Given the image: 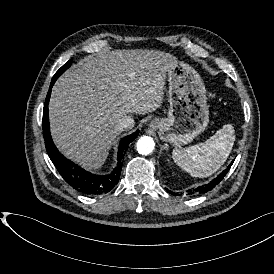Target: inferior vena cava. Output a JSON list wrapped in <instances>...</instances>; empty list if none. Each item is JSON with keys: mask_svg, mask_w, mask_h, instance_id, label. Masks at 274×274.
Listing matches in <instances>:
<instances>
[{"mask_svg": "<svg viewBox=\"0 0 274 274\" xmlns=\"http://www.w3.org/2000/svg\"><path fill=\"white\" fill-rule=\"evenodd\" d=\"M135 121L132 116L125 115L117 119L116 124L113 127L115 132H121L123 130L134 127Z\"/></svg>", "mask_w": 274, "mask_h": 274, "instance_id": "602c4592", "label": "inferior vena cava"}]
</instances>
